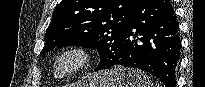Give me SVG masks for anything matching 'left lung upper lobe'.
I'll return each instance as SVG.
<instances>
[{"mask_svg": "<svg viewBox=\"0 0 205 87\" xmlns=\"http://www.w3.org/2000/svg\"><path fill=\"white\" fill-rule=\"evenodd\" d=\"M138 0H62L46 30L40 54L55 47L79 45L97 48L101 67L115 57L127 32Z\"/></svg>", "mask_w": 205, "mask_h": 87, "instance_id": "left-lung-upper-lobe-1", "label": "left lung upper lobe"}]
</instances>
